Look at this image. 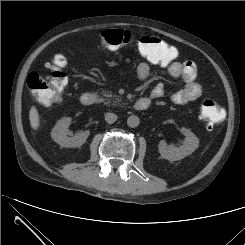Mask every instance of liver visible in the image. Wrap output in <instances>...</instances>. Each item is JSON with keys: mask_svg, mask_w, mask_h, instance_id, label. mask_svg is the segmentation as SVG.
<instances>
[{"mask_svg": "<svg viewBox=\"0 0 245 245\" xmlns=\"http://www.w3.org/2000/svg\"><path fill=\"white\" fill-rule=\"evenodd\" d=\"M29 120L31 127L36 130L40 125L39 113L35 106H32L29 111Z\"/></svg>", "mask_w": 245, "mask_h": 245, "instance_id": "6515ba94", "label": "liver"}]
</instances>
